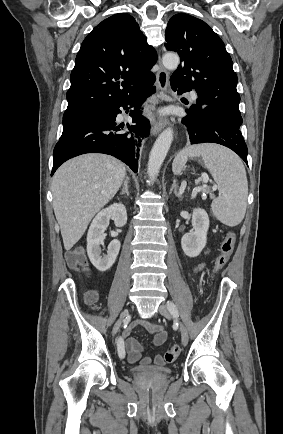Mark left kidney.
I'll return each instance as SVG.
<instances>
[{"mask_svg": "<svg viewBox=\"0 0 283 434\" xmlns=\"http://www.w3.org/2000/svg\"><path fill=\"white\" fill-rule=\"evenodd\" d=\"M193 231L183 235L181 246L188 257H197L206 246L209 217L202 208H195L192 215Z\"/></svg>", "mask_w": 283, "mask_h": 434, "instance_id": "left-kidney-1", "label": "left kidney"}]
</instances>
